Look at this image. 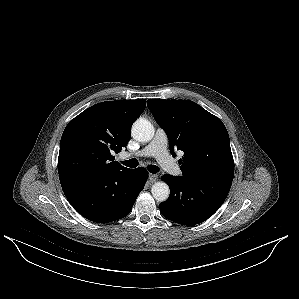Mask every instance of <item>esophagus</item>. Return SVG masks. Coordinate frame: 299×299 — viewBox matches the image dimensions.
<instances>
[{"label": "esophagus", "instance_id": "34e87169", "mask_svg": "<svg viewBox=\"0 0 299 299\" xmlns=\"http://www.w3.org/2000/svg\"><path fill=\"white\" fill-rule=\"evenodd\" d=\"M157 178H158V176L156 174H149V177H148L150 183L155 182L157 180Z\"/></svg>", "mask_w": 299, "mask_h": 299}]
</instances>
